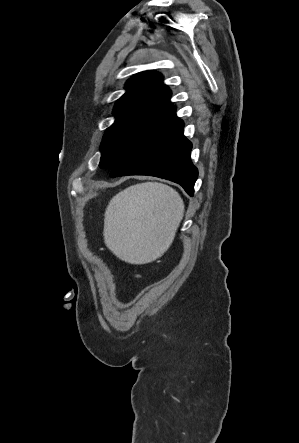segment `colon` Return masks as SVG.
I'll use <instances>...</instances> for the list:
<instances>
[{
  "label": "colon",
  "mask_w": 299,
  "mask_h": 443,
  "mask_svg": "<svg viewBox=\"0 0 299 443\" xmlns=\"http://www.w3.org/2000/svg\"><path fill=\"white\" fill-rule=\"evenodd\" d=\"M124 277L130 280H136L138 278L135 274H125Z\"/></svg>",
  "instance_id": "obj_1"
}]
</instances>
